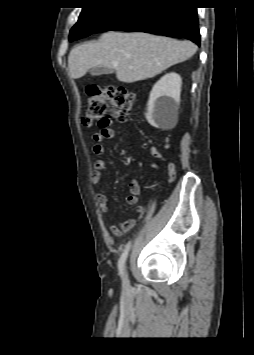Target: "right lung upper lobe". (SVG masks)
I'll return each instance as SVG.
<instances>
[{
    "instance_id": "right-lung-upper-lobe-1",
    "label": "right lung upper lobe",
    "mask_w": 254,
    "mask_h": 355,
    "mask_svg": "<svg viewBox=\"0 0 254 355\" xmlns=\"http://www.w3.org/2000/svg\"><path fill=\"white\" fill-rule=\"evenodd\" d=\"M89 2H93V1H98V0H88ZM115 1H118V2H121V3H126L128 1H131V0H115Z\"/></svg>"
}]
</instances>
